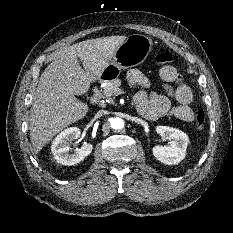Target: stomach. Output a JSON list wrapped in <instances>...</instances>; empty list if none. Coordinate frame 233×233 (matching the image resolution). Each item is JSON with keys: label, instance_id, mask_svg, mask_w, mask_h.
Masks as SVG:
<instances>
[{"label": "stomach", "instance_id": "stomach-1", "mask_svg": "<svg viewBox=\"0 0 233 233\" xmlns=\"http://www.w3.org/2000/svg\"><path fill=\"white\" fill-rule=\"evenodd\" d=\"M152 45V40L145 35H129L116 50L107 68L114 66L118 70H121L141 64L150 53ZM103 74L104 72L100 76V80L105 81Z\"/></svg>", "mask_w": 233, "mask_h": 233}]
</instances>
